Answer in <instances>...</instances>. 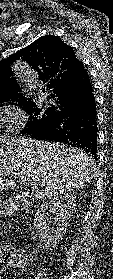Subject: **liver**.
Returning a JSON list of instances; mask_svg holds the SVG:
<instances>
[{"mask_svg":"<svg viewBox=\"0 0 113 279\" xmlns=\"http://www.w3.org/2000/svg\"><path fill=\"white\" fill-rule=\"evenodd\" d=\"M95 161L83 150L31 138L0 139V193L25 177L36 199H54L91 182ZM7 172L14 179H3Z\"/></svg>","mask_w":113,"mask_h":279,"instance_id":"1","label":"liver"}]
</instances>
